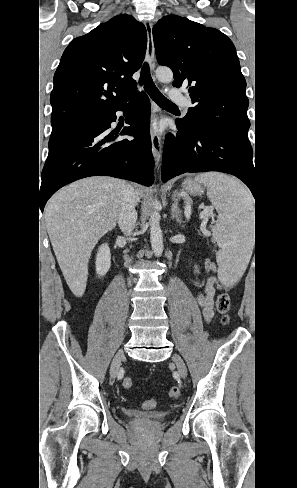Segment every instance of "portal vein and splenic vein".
I'll use <instances>...</instances> for the list:
<instances>
[{
	"mask_svg": "<svg viewBox=\"0 0 297 488\" xmlns=\"http://www.w3.org/2000/svg\"><path fill=\"white\" fill-rule=\"evenodd\" d=\"M204 210L203 212L200 214V217L201 218H205V217H208L210 216L212 213H211V207H202ZM190 215H191V210H190V206H188L186 209H185V217L187 219L190 218Z\"/></svg>",
	"mask_w": 297,
	"mask_h": 488,
	"instance_id": "1",
	"label": "portal vein and splenic vein"
}]
</instances>
